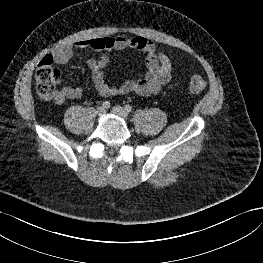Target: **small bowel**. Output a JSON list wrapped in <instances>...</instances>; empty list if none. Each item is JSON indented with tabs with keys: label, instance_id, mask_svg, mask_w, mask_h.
Listing matches in <instances>:
<instances>
[{
	"label": "small bowel",
	"instance_id": "obj_1",
	"mask_svg": "<svg viewBox=\"0 0 263 263\" xmlns=\"http://www.w3.org/2000/svg\"><path fill=\"white\" fill-rule=\"evenodd\" d=\"M90 48L101 52V56L87 59V65L92 73L95 89L103 97L119 94L136 93L148 96L158 93L171 79L172 62L170 57L160 51L155 43L145 37H98L79 40L56 47L52 51V59L58 64L68 62L75 49ZM136 50L144 55L145 73L139 79H128L119 86H113L106 81L105 68L109 63V54L112 51ZM82 95L79 86H65L57 91L54 100L63 103L68 99H77Z\"/></svg>",
	"mask_w": 263,
	"mask_h": 263
}]
</instances>
